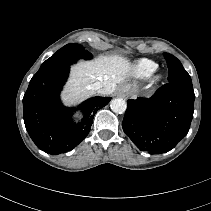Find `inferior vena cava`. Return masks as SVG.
Instances as JSON below:
<instances>
[{
    "label": "inferior vena cava",
    "mask_w": 211,
    "mask_h": 211,
    "mask_svg": "<svg viewBox=\"0 0 211 211\" xmlns=\"http://www.w3.org/2000/svg\"><path fill=\"white\" fill-rule=\"evenodd\" d=\"M91 89L97 91L98 93H102L103 84L97 81L91 85Z\"/></svg>",
    "instance_id": "inferior-vena-cava-1"
}]
</instances>
